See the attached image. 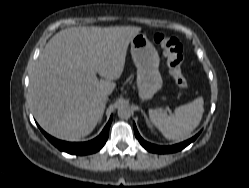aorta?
Returning a JSON list of instances; mask_svg holds the SVG:
<instances>
[{
	"instance_id": "aorta-1",
	"label": "aorta",
	"mask_w": 249,
	"mask_h": 188,
	"mask_svg": "<svg viewBox=\"0 0 249 188\" xmlns=\"http://www.w3.org/2000/svg\"><path fill=\"white\" fill-rule=\"evenodd\" d=\"M131 113L132 111L127 105H122L117 110L118 117L121 119H129L131 117Z\"/></svg>"
}]
</instances>
